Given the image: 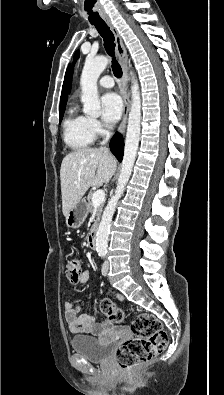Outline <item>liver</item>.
<instances>
[{"instance_id":"6515ba94","label":"liver","mask_w":224,"mask_h":395,"mask_svg":"<svg viewBox=\"0 0 224 395\" xmlns=\"http://www.w3.org/2000/svg\"><path fill=\"white\" fill-rule=\"evenodd\" d=\"M116 166V158L106 148H82L67 154L60 169L64 216L91 186L108 183Z\"/></svg>"}]
</instances>
